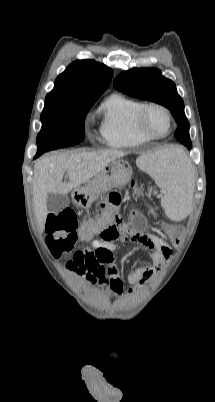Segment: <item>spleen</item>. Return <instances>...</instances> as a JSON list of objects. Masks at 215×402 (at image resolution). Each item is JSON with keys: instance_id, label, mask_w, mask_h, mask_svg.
Masks as SVG:
<instances>
[{"instance_id": "1", "label": "spleen", "mask_w": 215, "mask_h": 402, "mask_svg": "<svg viewBox=\"0 0 215 402\" xmlns=\"http://www.w3.org/2000/svg\"><path fill=\"white\" fill-rule=\"evenodd\" d=\"M145 170L161 187L165 188L159 208L173 220H182L191 215L195 190L192 178H198V169H191L190 160L179 147L165 148L147 157L138 159Z\"/></svg>"}]
</instances>
